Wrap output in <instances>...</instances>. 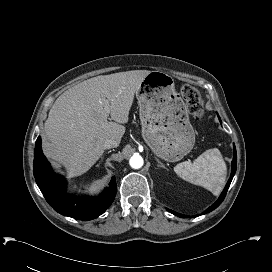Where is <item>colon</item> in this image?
I'll use <instances>...</instances> for the list:
<instances>
[{
  "mask_svg": "<svg viewBox=\"0 0 272 272\" xmlns=\"http://www.w3.org/2000/svg\"><path fill=\"white\" fill-rule=\"evenodd\" d=\"M180 93L194 119L201 121L204 115V106L199 92L190 85H183Z\"/></svg>",
  "mask_w": 272,
  "mask_h": 272,
  "instance_id": "1",
  "label": "colon"
}]
</instances>
